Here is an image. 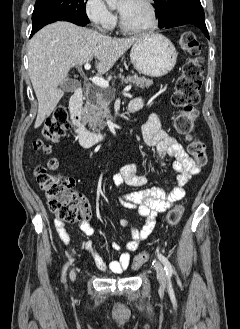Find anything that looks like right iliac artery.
Here are the masks:
<instances>
[{"label":"right iliac artery","mask_w":240,"mask_h":329,"mask_svg":"<svg viewBox=\"0 0 240 329\" xmlns=\"http://www.w3.org/2000/svg\"><path fill=\"white\" fill-rule=\"evenodd\" d=\"M70 262H72V260H70ZM67 267H68V264H66V265L64 266V269H63V277H64V275H65V272H66V270H67Z\"/></svg>","instance_id":"82829eb1"}]
</instances>
